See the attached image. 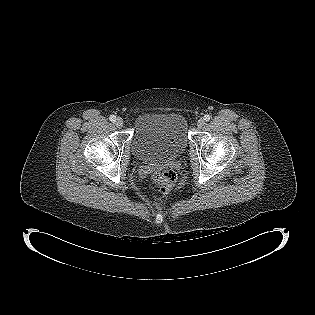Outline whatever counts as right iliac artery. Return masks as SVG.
Masks as SVG:
<instances>
[{
	"label": "right iliac artery",
	"instance_id": "1",
	"mask_svg": "<svg viewBox=\"0 0 315 315\" xmlns=\"http://www.w3.org/2000/svg\"><path fill=\"white\" fill-rule=\"evenodd\" d=\"M109 119H110L111 122H115V121H116V116L111 115V116L109 117Z\"/></svg>",
	"mask_w": 315,
	"mask_h": 315
}]
</instances>
